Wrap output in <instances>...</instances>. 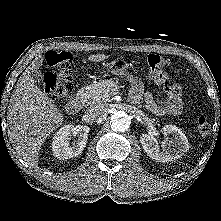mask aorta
I'll return each instance as SVG.
<instances>
[{"label": "aorta", "instance_id": "aorta-1", "mask_svg": "<svg viewBox=\"0 0 221 221\" xmlns=\"http://www.w3.org/2000/svg\"><path fill=\"white\" fill-rule=\"evenodd\" d=\"M130 123L128 115L123 111H118L111 117L110 127L113 131L124 132L129 128Z\"/></svg>", "mask_w": 221, "mask_h": 221}]
</instances>
